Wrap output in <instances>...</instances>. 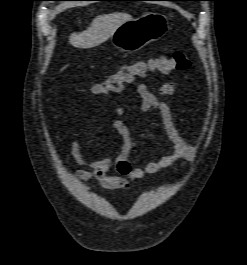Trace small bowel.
Returning a JSON list of instances; mask_svg holds the SVG:
<instances>
[{"label": "small bowel", "instance_id": "c3829d8e", "mask_svg": "<svg viewBox=\"0 0 247 265\" xmlns=\"http://www.w3.org/2000/svg\"><path fill=\"white\" fill-rule=\"evenodd\" d=\"M136 91L141 98L140 110L154 111L159 115L165 137L172 145V153L162 156L157 161L148 162L143 167H132L129 155L136 148V142L131 138L125 123L118 119L113 123L120 140L116 153L100 160L87 161L82 156L81 144L77 141L71 144V155L81 167L76 170V175L83 182L95 181L105 189L128 191L136 180L169 167H173V172L177 173L193 160L195 147L180 135L174 124L171 108L166 101V98L176 93L177 85L167 82L161 86L158 93H155L146 84H138ZM115 113L120 117L124 114V109L117 106ZM112 170L118 175L110 174Z\"/></svg>", "mask_w": 247, "mask_h": 265}]
</instances>
